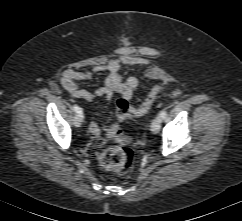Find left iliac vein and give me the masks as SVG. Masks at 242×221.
<instances>
[{"label":"left iliac vein","instance_id":"1","mask_svg":"<svg viewBox=\"0 0 242 221\" xmlns=\"http://www.w3.org/2000/svg\"><path fill=\"white\" fill-rule=\"evenodd\" d=\"M161 128L160 118H155L151 122V131L156 134Z\"/></svg>","mask_w":242,"mask_h":221}]
</instances>
